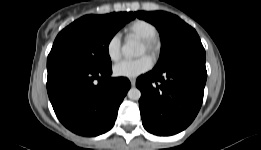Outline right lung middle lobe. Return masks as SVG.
Masks as SVG:
<instances>
[{
	"instance_id": "dd1d6c3e",
	"label": "right lung middle lobe",
	"mask_w": 261,
	"mask_h": 150,
	"mask_svg": "<svg viewBox=\"0 0 261 150\" xmlns=\"http://www.w3.org/2000/svg\"><path fill=\"white\" fill-rule=\"evenodd\" d=\"M132 19V12L81 17L56 37L48 55L47 69L101 70L111 67L108 45L116 32Z\"/></svg>"
}]
</instances>
